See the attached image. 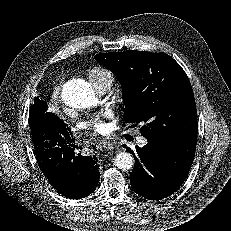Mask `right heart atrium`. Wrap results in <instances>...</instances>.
I'll list each match as a JSON object with an SVG mask.
<instances>
[{
  "label": "right heart atrium",
  "instance_id": "d8ad5b80",
  "mask_svg": "<svg viewBox=\"0 0 231 231\" xmlns=\"http://www.w3.org/2000/svg\"><path fill=\"white\" fill-rule=\"evenodd\" d=\"M62 79H58L55 83V86H54V90H53V95L54 97H58L59 93H60V90H61V87H62Z\"/></svg>",
  "mask_w": 231,
  "mask_h": 231
}]
</instances>
